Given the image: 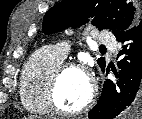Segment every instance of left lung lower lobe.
Returning a JSON list of instances; mask_svg holds the SVG:
<instances>
[{
    "instance_id": "0a47b994",
    "label": "left lung lower lobe",
    "mask_w": 142,
    "mask_h": 119,
    "mask_svg": "<svg viewBox=\"0 0 142 119\" xmlns=\"http://www.w3.org/2000/svg\"><path fill=\"white\" fill-rule=\"evenodd\" d=\"M116 39L124 44L118 54L123 56L117 63L118 81L104 82L98 104L88 114L90 119H114L122 112L138 116L142 112V21Z\"/></svg>"
}]
</instances>
